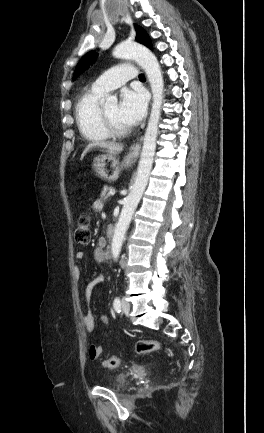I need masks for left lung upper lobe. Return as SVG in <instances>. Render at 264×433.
<instances>
[{
  "label": "left lung upper lobe",
  "mask_w": 264,
  "mask_h": 433,
  "mask_svg": "<svg viewBox=\"0 0 264 433\" xmlns=\"http://www.w3.org/2000/svg\"><path fill=\"white\" fill-rule=\"evenodd\" d=\"M135 29L137 32V36L135 38L136 41L144 44L145 46H147L149 48H152L150 38H149L148 34L146 33V31L143 28L137 26L136 24H135ZM96 57H97V54L94 52H90V53L86 54L80 60V62L77 64L73 79L75 80L81 73H83L85 70H87L89 68V66L95 62Z\"/></svg>",
  "instance_id": "5c2ea615"
}]
</instances>
